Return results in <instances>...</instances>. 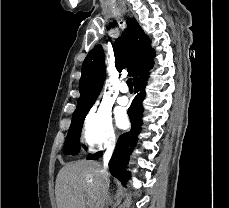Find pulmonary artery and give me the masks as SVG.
<instances>
[{
	"mask_svg": "<svg viewBox=\"0 0 229 208\" xmlns=\"http://www.w3.org/2000/svg\"><path fill=\"white\" fill-rule=\"evenodd\" d=\"M120 91L121 95L118 98V101L122 105H127L130 102L129 96L127 95L128 93V87L125 81H122L120 84Z\"/></svg>",
	"mask_w": 229,
	"mask_h": 208,
	"instance_id": "pulmonary-artery-1",
	"label": "pulmonary artery"
}]
</instances>
